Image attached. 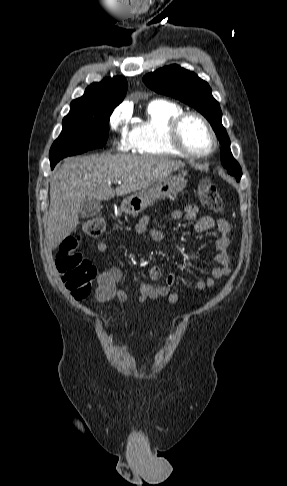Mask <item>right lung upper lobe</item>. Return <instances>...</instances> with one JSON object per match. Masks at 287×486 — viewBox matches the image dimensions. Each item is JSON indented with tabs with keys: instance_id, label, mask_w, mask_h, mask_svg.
I'll return each instance as SVG.
<instances>
[{
	"instance_id": "cb5924a9",
	"label": "right lung upper lobe",
	"mask_w": 287,
	"mask_h": 486,
	"mask_svg": "<svg viewBox=\"0 0 287 486\" xmlns=\"http://www.w3.org/2000/svg\"><path fill=\"white\" fill-rule=\"evenodd\" d=\"M127 81L122 76L104 78L101 82L92 83L86 88L82 97L71 102V108L108 107L114 109L126 94Z\"/></svg>"
}]
</instances>
